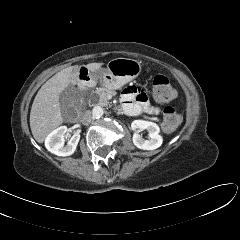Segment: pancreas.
<instances>
[{
  "mask_svg": "<svg viewBox=\"0 0 240 240\" xmlns=\"http://www.w3.org/2000/svg\"><path fill=\"white\" fill-rule=\"evenodd\" d=\"M99 100H98V104L101 106H108L109 105V101L107 98V95L109 93L108 89L105 88H97L94 92Z\"/></svg>",
  "mask_w": 240,
  "mask_h": 240,
  "instance_id": "pancreas-1",
  "label": "pancreas"
}]
</instances>
